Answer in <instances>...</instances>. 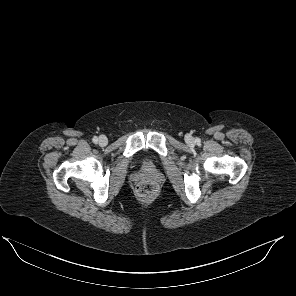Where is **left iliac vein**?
<instances>
[{
    "label": "left iliac vein",
    "mask_w": 296,
    "mask_h": 296,
    "mask_svg": "<svg viewBox=\"0 0 296 296\" xmlns=\"http://www.w3.org/2000/svg\"><path fill=\"white\" fill-rule=\"evenodd\" d=\"M187 141H188L189 143H191V142L193 141V139H192L191 137H189V138L187 139Z\"/></svg>",
    "instance_id": "left-iliac-vein-1"
}]
</instances>
